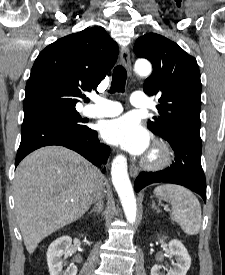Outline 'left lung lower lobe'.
<instances>
[{"label": "left lung lower lobe", "instance_id": "0a47b994", "mask_svg": "<svg viewBox=\"0 0 225 275\" xmlns=\"http://www.w3.org/2000/svg\"><path fill=\"white\" fill-rule=\"evenodd\" d=\"M167 141L175 152V162L162 171L140 173L135 180V191L151 183H174L195 191L206 201V181L201 166V139L176 137Z\"/></svg>", "mask_w": 225, "mask_h": 275}]
</instances>
